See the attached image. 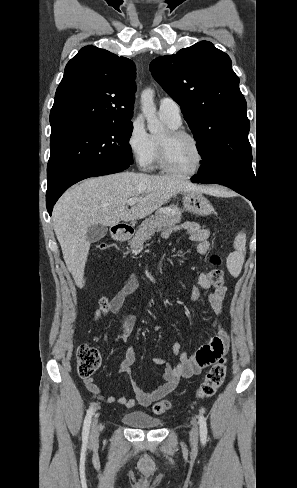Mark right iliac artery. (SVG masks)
<instances>
[{"label":"right iliac artery","mask_w":297,"mask_h":488,"mask_svg":"<svg viewBox=\"0 0 297 488\" xmlns=\"http://www.w3.org/2000/svg\"><path fill=\"white\" fill-rule=\"evenodd\" d=\"M93 413H94V407L91 406L87 411V414H86V417L84 420V425H83L82 438H83L84 442L88 441L90 424H91V419H92Z\"/></svg>","instance_id":"1"}]
</instances>
